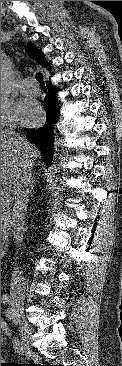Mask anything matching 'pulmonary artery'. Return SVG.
Returning a JSON list of instances; mask_svg holds the SVG:
<instances>
[{
	"label": "pulmonary artery",
	"instance_id": "e3ab8cb5",
	"mask_svg": "<svg viewBox=\"0 0 122 366\" xmlns=\"http://www.w3.org/2000/svg\"><path fill=\"white\" fill-rule=\"evenodd\" d=\"M19 89L23 94L28 95H37L40 91L36 83L30 79L22 80L21 84L19 85Z\"/></svg>",
	"mask_w": 122,
	"mask_h": 366
}]
</instances>
